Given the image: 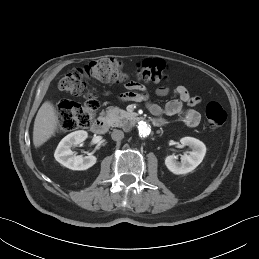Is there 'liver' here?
<instances>
[{
    "mask_svg": "<svg viewBox=\"0 0 259 259\" xmlns=\"http://www.w3.org/2000/svg\"><path fill=\"white\" fill-rule=\"evenodd\" d=\"M58 125L55 107L49 101L42 104L37 112L33 128V144L36 148L42 146L54 134Z\"/></svg>",
    "mask_w": 259,
    "mask_h": 259,
    "instance_id": "1",
    "label": "liver"
}]
</instances>
